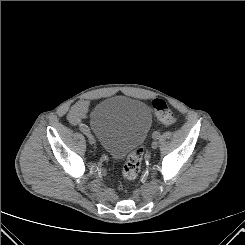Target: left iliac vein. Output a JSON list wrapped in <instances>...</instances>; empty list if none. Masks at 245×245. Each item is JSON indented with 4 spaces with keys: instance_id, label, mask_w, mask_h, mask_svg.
<instances>
[{
    "instance_id": "obj_1",
    "label": "left iliac vein",
    "mask_w": 245,
    "mask_h": 245,
    "mask_svg": "<svg viewBox=\"0 0 245 245\" xmlns=\"http://www.w3.org/2000/svg\"><path fill=\"white\" fill-rule=\"evenodd\" d=\"M151 146H152V149H156L158 147V142L156 140H154L152 142V145Z\"/></svg>"
}]
</instances>
